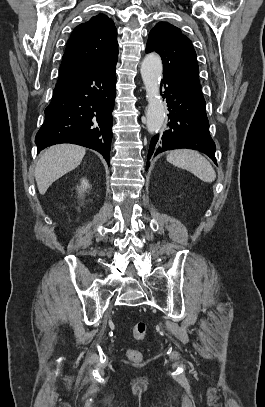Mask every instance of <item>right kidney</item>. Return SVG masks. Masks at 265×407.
Returning a JSON list of instances; mask_svg holds the SVG:
<instances>
[{"label": "right kidney", "instance_id": "obj_1", "mask_svg": "<svg viewBox=\"0 0 265 407\" xmlns=\"http://www.w3.org/2000/svg\"><path fill=\"white\" fill-rule=\"evenodd\" d=\"M89 187L88 181L83 179L81 181V187L79 188L80 192H84Z\"/></svg>", "mask_w": 265, "mask_h": 407}]
</instances>
